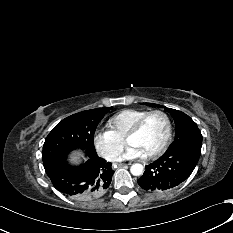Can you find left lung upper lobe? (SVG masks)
Segmentation results:
<instances>
[{
  "mask_svg": "<svg viewBox=\"0 0 233 233\" xmlns=\"http://www.w3.org/2000/svg\"><path fill=\"white\" fill-rule=\"evenodd\" d=\"M151 107H164L158 104L145 103ZM166 111L172 114L176 125V136L173 143L167 150L174 148H192L201 150L202 147V135L197 124L185 113L165 108Z\"/></svg>",
  "mask_w": 233,
  "mask_h": 233,
  "instance_id": "left-lung-upper-lobe-1",
  "label": "left lung upper lobe"
}]
</instances>
